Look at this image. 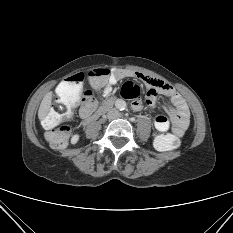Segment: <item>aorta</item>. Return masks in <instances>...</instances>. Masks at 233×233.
I'll use <instances>...</instances> for the list:
<instances>
[{"label": "aorta", "instance_id": "762f6f07", "mask_svg": "<svg viewBox=\"0 0 233 233\" xmlns=\"http://www.w3.org/2000/svg\"><path fill=\"white\" fill-rule=\"evenodd\" d=\"M125 106V103L122 101L121 104L119 105L120 108H123Z\"/></svg>", "mask_w": 233, "mask_h": 233}]
</instances>
